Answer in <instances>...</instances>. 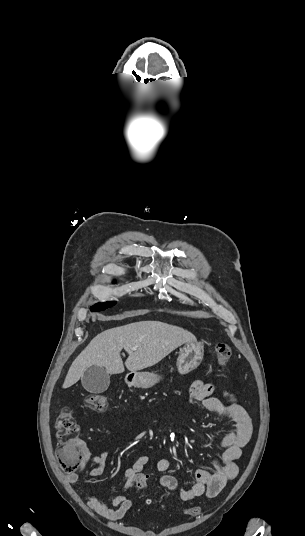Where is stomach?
I'll return each instance as SVG.
<instances>
[{
    "label": "stomach",
    "mask_w": 305,
    "mask_h": 536,
    "mask_svg": "<svg viewBox=\"0 0 305 536\" xmlns=\"http://www.w3.org/2000/svg\"><path fill=\"white\" fill-rule=\"evenodd\" d=\"M203 356L204 348L201 342H186L177 358L179 374H189L192 370H196L200 366ZM159 380L157 374H150V372H134V374H127L125 378L126 384L135 386V388H152Z\"/></svg>",
    "instance_id": "stomach-1"
}]
</instances>
